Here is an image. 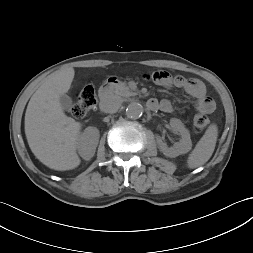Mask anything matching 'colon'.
Instances as JSON below:
<instances>
[{"label":"colon","mask_w":253,"mask_h":253,"mask_svg":"<svg viewBox=\"0 0 253 253\" xmlns=\"http://www.w3.org/2000/svg\"><path fill=\"white\" fill-rule=\"evenodd\" d=\"M97 97L93 85L88 83L78 93L77 100L72 108L75 117H84L96 105ZM209 124V118L205 113H198L193 118V126L197 131L204 130Z\"/></svg>","instance_id":"1"}]
</instances>
